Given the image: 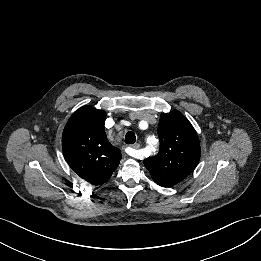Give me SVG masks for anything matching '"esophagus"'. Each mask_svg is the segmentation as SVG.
<instances>
[{
	"label": "esophagus",
	"mask_w": 261,
	"mask_h": 261,
	"mask_svg": "<svg viewBox=\"0 0 261 261\" xmlns=\"http://www.w3.org/2000/svg\"><path fill=\"white\" fill-rule=\"evenodd\" d=\"M139 148H140V144L139 143H136V144L132 145L133 151L130 153V156L138 159L139 155H138V153H136V150L139 149Z\"/></svg>",
	"instance_id": "34e87169"
}]
</instances>
